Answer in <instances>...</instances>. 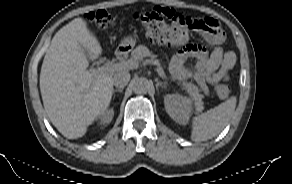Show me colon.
Segmentation results:
<instances>
[{
  "label": "colon",
  "mask_w": 292,
  "mask_h": 184,
  "mask_svg": "<svg viewBox=\"0 0 292 184\" xmlns=\"http://www.w3.org/2000/svg\"><path fill=\"white\" fill-rule=\"evenodd\" d=\"M86 18L100 29L114 27L119 19L104 10L90 12ZM133 20L141 24L145 35L157 44L181 46L186 41L185 29L202 26L199 17L182 14L171 8H156L151 11L135 12ZM215 93L220 99L230 94L227 84L219 83L215 86Z\"/></svg>",
  "instance_id": "5ec220e1"
}]
</instances>
